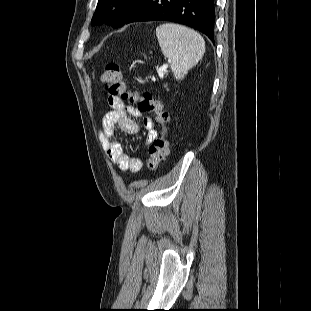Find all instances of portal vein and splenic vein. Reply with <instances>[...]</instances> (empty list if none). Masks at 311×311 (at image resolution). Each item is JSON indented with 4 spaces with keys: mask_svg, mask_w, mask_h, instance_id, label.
<instances>
[{
    "mask_svg": "<svg viewBox=\"0 0 311 311\" xmlns=\"http://www.w3.org/2000/svg\"><path fill=\"white\" fill-rule=\"evenodd\" d=\"M163 71H164L163 68H160V69L157 71V72H158V75H159L160 77L163 76Z\"/></svg>",
    "mask_w": 311,
    "mask_h": 311,
    "instance_id": "obj_1",
    "label": "portal vein and splenic vein"
}]
</instances>
